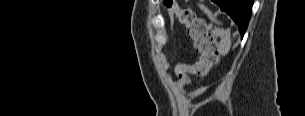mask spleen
I'll list each match as a JSON object with an SVG mask.
<instances>
[{"label":"spleen","instance_id":"1","mask_svg":"<svg viewBox=\"0 0 305 116\" xmlns=\"http://www.w3.org/2000/svg\"><path fill=\"white\" fill-rule=\"evenodd\" d=\"M201 9L204 11V13L207 14V16L209 17V19H210L211 21L218 23V22L216 21V19L213 17L211 11H209V10H208L206 7H204V6H201ZM218 24H219V23H218Z\"/></svg>","mask_w":305,"mask_h":116}]
</instances>
